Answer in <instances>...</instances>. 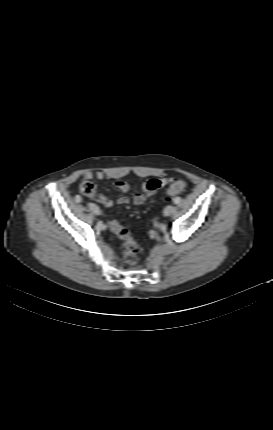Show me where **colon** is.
<instances>
[{
    "mask_svg": "<svg viewBox=\"0 0 273 430\" xmlns=\"http://www.w3.org/2000/svg\"><path fill=\"white\" fill-rule=\"evenodd\" d=\"M185 188V183L182 180H175L166 190V197L169 200H172L178 194H180ZM79 189L81 193L86 196H91L95 193V185L93 182L89 180H83L80 183ZM111 230L121 239L124 240L122 249H123V257L127 264L131 266L138 265V245L133 240L131 233L128 229L123 227L117 221L112 220L110 223Z\"/></svg>",
    "mask_w": 273,
    "mask_h": 430,
    "instance_id": "1",
    "label": "colon"
}]
</instances>
